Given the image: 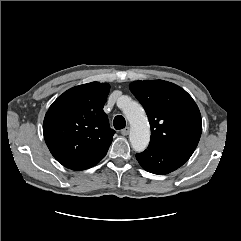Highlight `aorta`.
<instances>
[{"instance_id":"aorta-1","label":"aorta","mask_w":241,"mask_h":241,"mask_svg":"<svg viewBox=\"0 0 241 241\" xmlns=\"http://www.w3.org/2000/svg\"><path fill=\"white\" fill-rule=\"evenodd\" d=\"M122 111L128 119L131 130L129 140L132 148L137 152L144 151L150 141V127L144 109L137 102L128 97L122 98Z\"/></svg>"}]
</instances>
